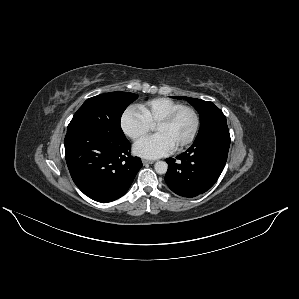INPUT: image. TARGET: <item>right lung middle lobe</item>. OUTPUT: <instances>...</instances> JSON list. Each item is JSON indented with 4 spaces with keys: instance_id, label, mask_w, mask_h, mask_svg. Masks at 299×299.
<instances>
[{
    "instance_id": "1",
    "label": "right lung middle lobe",
    "mask_w": 299,
    "mask_h": 299,
    "mask_svg": "<svg viewBox=\"0 0 299 299\" xmlns=\"http://www.w3.org/2000/svg\"><path fill=\"white\" fill-rule=\"evenodd\" d=\"M138 98L130 92H111L87 99L74 114L68 129L92 127L110 132L117 138L125 135L120 126L127 106Z\"/></svg>"
}]
</instances>
